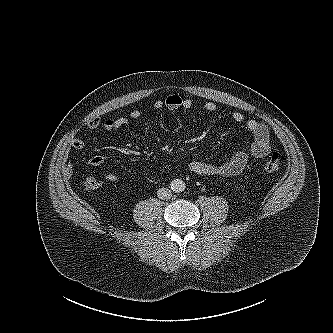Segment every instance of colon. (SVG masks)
<instances>
[{
	"label": "colon",
	"mask_w": 333,
	"mask_h": 333,
	"mask_svg": "<svg viewBox=\"0 0 333 333\" xmlns=\"http://www.w3.org/2000/svg\"><path fill=\"white\" fill-rule=\"evenodd\" d=\"M282 164V156L279 152H273L264 164V170L266 172H275L277 171ZM101 183L93 178L87 177L83 180V186L87 189H97Z\"/></svg>",
	"instance_id": "colon-1"
}]
</instances>
